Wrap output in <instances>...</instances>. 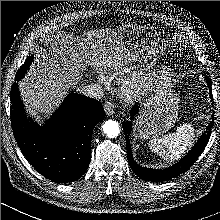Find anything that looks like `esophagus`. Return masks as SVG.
Instances as JSON below:
<instances>
[{
  "instance_id": "34e87169",
  "label": "esophagus",
  "mask_w": 220,
  "mask_h": 220,
  "mask_svg": "<svg viewBox=\"0 0 220 220\" xmlns=\"http://www.w3.org/2000/svg\"><path fill=\"white\" fill-rule=\"evenodd\" d=\"M103 107L107 116H112L115 113L114 105L111 102H105Z\"/></svg>"
}]
</instances>
